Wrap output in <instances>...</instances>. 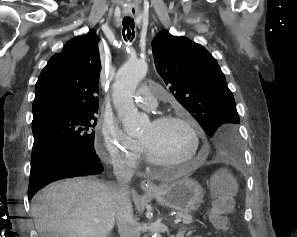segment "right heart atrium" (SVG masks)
I'll return each instance as SVG.
<instances>
[{"label": "right heart atrium", "mask_w": 297, "mask_h": 237, "mask_svg": "<svg viewBox=\"0 0 297 237\" xmlns=\"http://www.w3.org/2000/svg\"><path fill=\"white\" fill-rule=\"evenodd\" d=\"M101 137L105 156L112 164L127 168L138 166L142 153L140 144L126 135L115 121L102 120Z\"/></svg>", "instance_id": "d8ad5b80"}]
</instances>
